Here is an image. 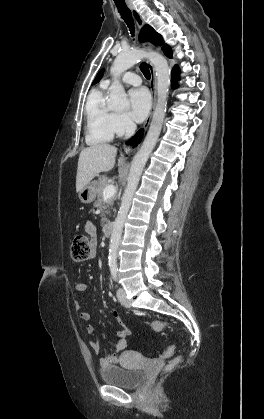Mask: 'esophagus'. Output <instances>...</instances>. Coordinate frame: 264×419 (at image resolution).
Here are the masks:
<instances>
[{
  "mask_svg": "<svg viewBox=\"0 0 264 419\" xmlns=\"http://www.w3.org/2000/svg\"><path fill=\"white\" fill-rule=\"evenodd\" d=\"M128 6H129V9L131 10L132 16H133L138 28L141 29L144 26V21H143L142 17L140 16L139 12L134 8L133 5L129 4ZM143 46H144V48H146L148 50L152 49V47H153L150 42H144ZM148 65H149V70H150V74H151L150 88H151V91H152V94H153V103H152L151 113H150L148 119L145 121V123L143 125L144 131H146L148 129V126L150 124L152 114L154 112L155 105H156V75H155V70H154V67H153L152 63L148 62ZM125 152L130 153L131 148L129 146H125Z\"/></svg>",
  "mask_w": 264,
  "mask_h": 419,
  "instance_id": "34e87169",
  "label": "esophagus"
}]
</instances>
